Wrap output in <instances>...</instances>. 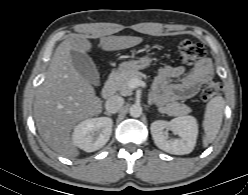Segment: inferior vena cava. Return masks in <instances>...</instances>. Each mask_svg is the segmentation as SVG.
<instances>
[{
	"label": "inferior vena cava",
	"mask_w": 248,
	"mask_h": 195,
	"mask_svg": "<svg viewBox=\"0 0 248 195\" xmlns=\"http://www.w3.org/2000/svg\"><path fill=\"white\" fill-rule=\"evenodd\" d=\"M124 104V99L120 96L114 95L107 99L105 108L109 113L118 112Z\"/></svg>",
	"instance_id": "602c4592"
}]
</instances>
